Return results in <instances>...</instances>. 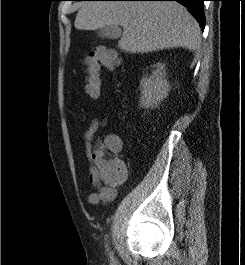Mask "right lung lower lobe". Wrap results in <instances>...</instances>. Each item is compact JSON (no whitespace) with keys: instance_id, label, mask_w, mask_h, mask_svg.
<instances>
[{"instance_id":"1","label":"right lung lower lobe","mask_w":245,"mask_h":265,"mask_svg":"<svg viewBox=\"0 0 245 265\" xmlns=\"http://www.w3.org/2000/svg\"><path fill=\"white\" fill-rule=\"evenodd\" d=\"M124 1H177L189 9L194 18L198 21L202 30L205 27L204 0H124Z\"/></svg>"}]
</instances>
